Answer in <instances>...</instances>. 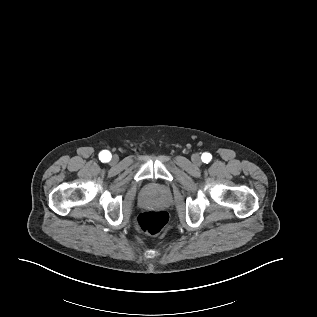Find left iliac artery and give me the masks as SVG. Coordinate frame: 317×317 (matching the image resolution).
Segmentation results:
<instances>
[{
  "label": "left iliac artery",
  "mask_w": 317,
  "mask_h": 317,
  "mask_svg": "<svg viewBox=\"0 0 317 317\" xmlns=\"http://www.w3.org/2000/svg\"><path fill=\"white\" fill-rule=\"evenodd\" d=\"M201 159L204 163H209L212 159V155L210 153L205 152L202 154Z\"/></svg>",
  "instance_id": "obj_1"
}]
</instances>
